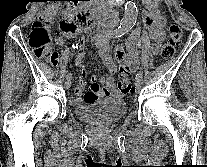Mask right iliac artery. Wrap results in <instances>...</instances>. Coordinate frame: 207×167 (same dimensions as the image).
Wrapping results in <instances>:
<instances>
[{
	"instance_id": "right-iliac-artery-1",
	"label": "right iliac artery",
	"mask_w": 207,
	"mask_h": 167,
	"mask_svg": "<svg viewBox=\"0 0 207 167\" xmlns=\"http://www.w3.org/2000/svg\"><path fill=\"white\" fill-rule=\"evenodd\" d=\"M117 34H121V35H123V34H124V31H123V30H119V31H116V32L106 33L104 36H102V37L100 38V40H102V41H107V40H109L110 38L115 37ZM71 78H72V75H71L70 73H68V74L66 75V79H71Z\"/></svg>"
}]
</instances>
